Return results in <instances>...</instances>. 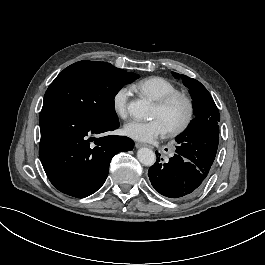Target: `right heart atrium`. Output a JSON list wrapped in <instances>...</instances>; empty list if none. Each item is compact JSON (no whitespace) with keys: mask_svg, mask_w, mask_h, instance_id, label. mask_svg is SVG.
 <instances>
[{"mask_svg":"<svg viewBox=\"0 0 265 265\" xmlns=\"http://www.w3.org/2000/svg\"><path fill=\"white\" fill-rule=\"evenodd\" d=\"M131 94L126 88H119L111 96L110 103L114 107L116 116L120 120H125L129 116Z\"/></svg>","mask_w":265,"mask_h":265,"instance_id":"obj_1","label":"right heart atrium"}]
</instances>
